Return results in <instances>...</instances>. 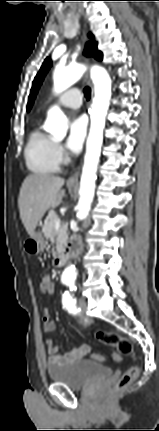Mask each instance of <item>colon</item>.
Listing matches in <instances>:
<instances>
[{"label": "colon", "mask_w": 159, "mask_h": 431, "mask_svg": "<svg viewBox=\"0 0 159 431\" xmlns=\"http://www.w3.org/2000/svg\"><path fill=\"white\" fill-rule=\"evenodd\" d=\"M57 284L55 279L51 276L49 278L48 292L51 298L57 295L55 291ZM97 339L105 345L112 346L116 349V353L111 355L112 363H121V356L130 355L133 352V345L131 341L119 334L112 331L99 330L96 333ZM92 358L101 360L102 358L98 355L93 354ZM138 368L130 367L123 376L114 385L112 393L118 395L122 393L138 376Z\"/></svg>", "instance_id": "colon-1"}]
</instances>
